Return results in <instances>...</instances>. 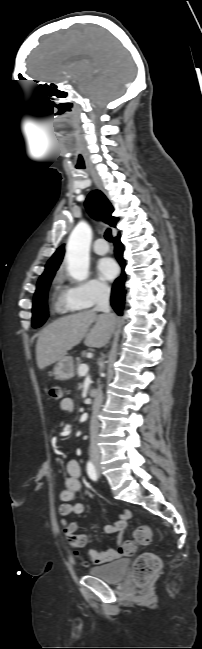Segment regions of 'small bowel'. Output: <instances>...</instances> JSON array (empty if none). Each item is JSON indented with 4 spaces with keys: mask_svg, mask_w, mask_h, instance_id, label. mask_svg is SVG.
Returning a JSON list of instances; mask_svg holds the SVG:
<instances>
[{
    "mask_svg": "<svg viewBox=\"0 0 202 649\" xmlns=\"http://www.w3.org/2000/svg\"><path fill=\"white\" fill-rule=\"evenodd\" d=\"M60 409L64 413L73 412V399L69 397L63 398L60 402ZM52 433L54 436H62V434L57 429H53ZM65 470L67 473V478L65 480V485L59 494V498L62 502L59 507V513L62 517L61 526L63 528L64 536L69 545L74 549V555L78 563L82 567L87 568L91 564L100 565L122 557L124 555L122 552V546L124 543L123 531L126 528L127 522L131 517V511L128 509H123L120 512L117 520L113 524H109L105 527V532L107 534H116V541L118 545L116 549H110L106 552L90 550L86 555H83L78 550L79 548H82L87 544L88 537L85 534H80L77 532L79 528V521L70 522L67 520V517L71 514L80 515L83 519L87 517L84 505L82 503L73 502L77 492L82 488V469L78 460L71 459L66 463Z\"/></svg>",
    "mask_w": 202,
    "mask_h": 649,
    "instance_id": "small-bowel-1",
    "label": "small bowel"
}]
</instances>
